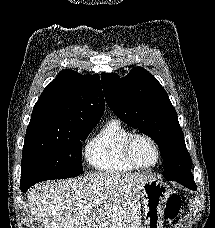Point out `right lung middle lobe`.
<instances>
[{"label": "right lung middle lobe", "instance_id": "right-lung-middle-lobe-1", "mask_svg": "<svg viewBox=\"0 0 215 228\" xmlns=\"http://www.w3.org/2000/svg\"><path fill=\"white\" fill-rule=\"evenodd\" d=\"M98 122L76 123L27 132L22 152L20 184L80 175L82 141Z\"/></svg>", "mask_w": 215, "mask_h": 228}]
</instances>
